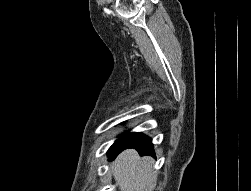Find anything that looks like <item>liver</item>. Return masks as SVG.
<instances>
[{
	"label": "liver",
	"instance_id": "6515ba94",
	"mask_svg": "<svg viewBox=\"0 0 251 191\" xmlns=\"http://www.w3.org/2000/svg\"><path fill=\"white\" fill-rule=\"evenodd\" d=\"M154 159L140 157L136 149H124L113 165V175L120 191H145L154 181Z\"/></svg>",
	"mask_w": 251,
	"mask_h": 191
}]
</instances>
